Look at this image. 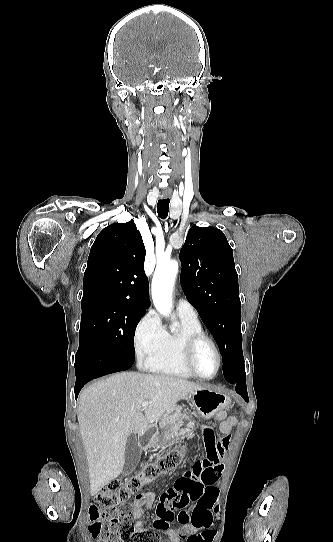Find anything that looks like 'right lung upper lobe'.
<instances>
[{"label": "right lung upper lobe", "instance_id": "cb5924a9", "mask_svg": "<svg viewBox=\"0 0 333 542\" xmlns=\"http://www.w3.org/2000/svg\"><path fill=\"white\" fill-rule=\"evenodd\" d=\"M145 246L133 220L104 228L84 273L82 306L103 303L144 310L150 306Z\"/></svg>", "mask_w": 333, "mask_h": 542}]
</instances>
